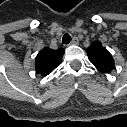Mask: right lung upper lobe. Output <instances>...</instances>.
<instances>
[{"instance_id": "1", "label": "right lung upper lobe", "mask_w": 127, "mask_h": 127, "mask_svg": "<svg viewBox=\"0 0 127 127\" xmlns=\"http://www.w3.org/2000/svg\"><path fill=\"white\" fill-rule=\"evenodd\" d=\"M64 49L53 50L44 48L36 56L35 70L42 76L50 74L62 61Z\"/></svg>"}]
</instances>
